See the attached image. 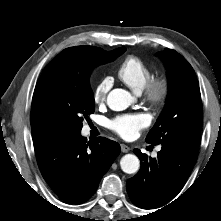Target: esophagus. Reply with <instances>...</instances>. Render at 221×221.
I'll use <instances>...</instances> for the list:
<instances>
[{
  "mask_svg": "<svg viewBox=\"0 0 221 221\" xmlns=\"http://www.w3.org/2000/svg\"><path fill=\"white\" fill-rule=\"evenodd\" d=\"M129 150H130V148H129L127 145L121 144V151H122L123 153L129 152Z\"/></svg>",
  "mask_w": 221,
  "mask_h": 221,
  "instance_id": "34e87169",
  "label": "esophagus"
}]
</instances>
